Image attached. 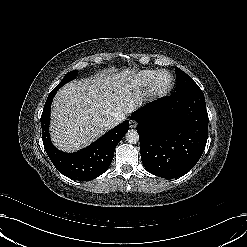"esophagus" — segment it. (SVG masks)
<instances>
[{"label":"esophagus","mask_w":247,"mask_h":247,"mask_svg":"<svg viewBox=\"0 0 247 247\" xmlns=\"http://www.w3.org/2000/svg\"><path fill=\"white\" fill-rule=\"evenodd\" d=\"M130 128H136L137 127V121H135V120H130Z\"/></svg>","instance_id":"esophagus-1"}]
</instances>
